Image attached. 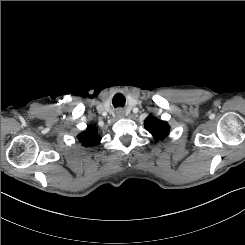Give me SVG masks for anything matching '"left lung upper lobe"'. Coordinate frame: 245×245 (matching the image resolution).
<instances>
[{
	"mask_svg": "<svg viewBox=\"0 0 245 245\" xmlns=\"http://www.w3.org/2000/svg\"><path fill=\"white\" fill-rule=\"evenodd\" d=\"M144 126L154 136L155 141L163 140L170 130L167 122L159 120L154 116L147 117Z\"/></svg>",
	"mask_w": 245,
	"mask_h": 245,
	"instance_id": "obj_1",
	"label": "left lung upper lobe"
}]
</instances>
